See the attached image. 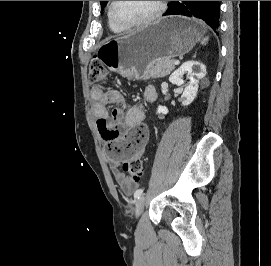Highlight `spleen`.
<instances>
[{
    "label": "spleen",
    "mask_w": 271,
    "mask_h": 266,
    "mask_svg": "<svg viewBox=\"0 0 271 266\" xmlns=\"http://www.w3.org/2000/svg\"><path fill=\"white\" fill-rule=\"evenodd\" d=\"M209 40V37H204L201 41V44L206 45Z\"/></svg>",
    "instance_id": "obj_1"
}]
</instances>
